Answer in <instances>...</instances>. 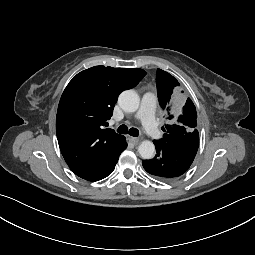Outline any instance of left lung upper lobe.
<instances>
[{"label":"left lung upper lobe","mask_w":255,"mask_h":255,"mask_svg":"<svg viewBox=\"0 0 255 255\" xmlns=\"http://www.w3.org/2000/svg\"><path fill=\"white\" fill-rule=\"evenodd\" d=\"M159 103L167 113V124L159 143H177L198 138L196 108L190 98H185L179 82L168 72L157 69L156 76ZM183 92V91H182Z\"/></svg>","instance_id":"obj_1"}]
</instances>
